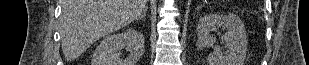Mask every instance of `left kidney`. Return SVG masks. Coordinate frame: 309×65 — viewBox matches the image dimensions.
Listing matches in <instances>:
<instances>
[{"label":"left kidney","mask_w":309,"mask_h":65,"mask_svg":"<svg viewBox=\"0 0 309 65\" xmlns=\"http://www.w3.org/2000/svg\"><path fill=\"white\" fill-rule=\"evenodd\" d=\"M219 27L227 30L222 35L226 51L215 47L208 56L209 65H244L248 41L244 23L236 15L209 14L202 17L197 26L198 46L214 45L216 38L210 33Z\"/></svg>","instance_id":"1"}]
</instances>
